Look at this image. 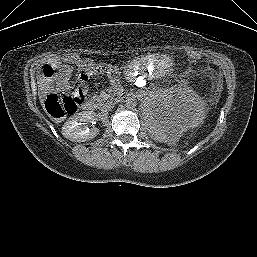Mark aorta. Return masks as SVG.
<instances>
[{
    "mask_svg": "<svg viewBox=\"0 0 257 257\" xmlns=\"http://www.w3.org/2000/svg\"><path fill=\"white\" fill-rule=\"evenodd\" d=\"M125 106L128 109L134 108L136 106V100L133 99V98H127L126 101H125Z\"/></svg>",
    "mask_w": 257,
    "mask_h": 257,
    "instance_id": "1",
    "label": "aorta"
}]
</instances>
